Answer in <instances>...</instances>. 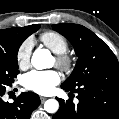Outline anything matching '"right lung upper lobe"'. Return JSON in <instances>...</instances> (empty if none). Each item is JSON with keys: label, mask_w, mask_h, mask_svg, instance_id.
<instances>
[{"label": "right lung upper lobe", "mask_w": 119, "mask_h": 119, "mask_svg": "<svg viewBox=\"0 0 119 119\" xmlns=\"http://www.w3.org/2000/svg\"><path fill=\"white\" fill-rule=\"evenodd\" d=\"M37 24L25 26V27H18V28H9L0 30V39L2 38H16L22 42L32 33H34V29Z\"/></svg>", "instance_id": "obj_1"}]
</instances>
